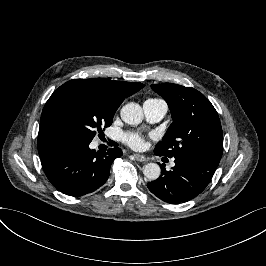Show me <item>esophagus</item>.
<instances>
[{"instance_id": "34e87169", "label": "esophagus", "mask_w": 266, "mask_h": 266, "mask_svg": "<svg viewBox=\"0 0 266 266\" xmlns=\"http://www.w3.org/2000/svg\"><path fill=\"white\" fill-rule=\"evenodd\" d=\"M134 157L139 162H145V161H147V158L144 155H142V154H136L135 153L134 154Z\"/></svg>"}]
</instances>
